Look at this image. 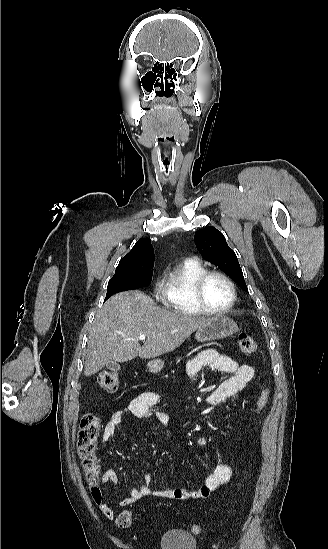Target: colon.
<instances>
[{"instance_id": "1", "label": "colon", "mask_w": 328, "mask_h": 549, "mask_svg": "<svg viewBox=\"0 0 328 549\" xmlns=\"http://www.w3.org/2000/svg\"><path fill=\"white\" fill-rule=\"evenodd\" d=\"M239 351L244 355H252L257 351V342L253 337L241 333L237 338ZM98 385L107 393L117 391L119 383L117 374L110 370L99 373L97 378ZM269 400V391L263 390L255 404L256 414H259L267 405ZM100 430V422L97 416L86 414L80 422V428L77 437V449L85 471L86 479L89 484L91 495L96 503L102 501L103 494L99 485V464L96 457V445ZM133 520V514L129 510L120 512L115 522L120 528L130 527ZM194 533L201 532V527L197 524L190 526Z\"/></svg>"}]
</instances>
